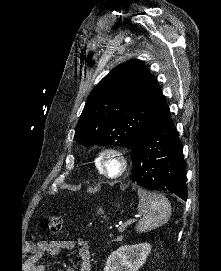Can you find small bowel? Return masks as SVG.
Masks as SVG:
<instances>
[{"mask_svg": "<svg viewBox=\"0 0 221 271\" xmlns=\"http://www.w3.org/2000/svg\"><path fill=\"white\" fill-rule=\"evenodd\" d=\"M76 248L79 257V271H91V254L89 243L86 240L70 241L66 239H54L50 241H39L35 245L34 255L31 257L30 263L35 265L44 255H57L62 250H73ZM34 271H45L42 265L34 267ZM64 271H74L73 267H66Z\"/></svg>", "mask_w": 221, "mask_h": 271, "instance_id": "c3829d8e", "label": "small bowel"}]
</instances>
